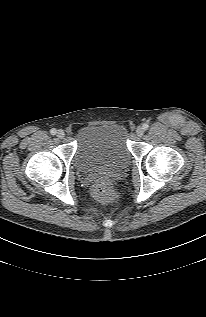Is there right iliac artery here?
Segmentation results:
<instances>
[{
	"label": "right iliac artery",
	"instance_id": "1",
	"mask_svg": "<svg viewBox=\"0 0 206 317\" xmlns=\"http://www.w3.org/2000/svg\"><path fill=\"white\" fill-rule=\"evenodd\" d=\"M50 133H51L52 135H55V134L57 133V131H56V129H51V130H50Z\"/></svg>",
	"mask_w": 206,
	"mask_h": 317
}]
</instances>
